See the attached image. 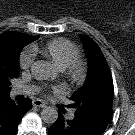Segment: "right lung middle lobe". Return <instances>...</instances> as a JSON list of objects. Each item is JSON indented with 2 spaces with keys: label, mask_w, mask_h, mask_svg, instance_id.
Listing matches in <instances>:
<instances>
[{
  "label": "right lung middle lobe",
  "mask_w": 135,
  "mask_h": 135,
  "mask_svg": "<svg viewBox=\"0 0 135 135\" xmlns=\"http://www.w3.org/2000/svg\"><path fill=\"white\" fill-rule=\"evenodd\" d=\"M30 42L31 41L20 40L15 43L13 47V53L16 56V59L13 63V67L9 72H5L0 75V95L8 94L10 92V80L19 76V53L21 49Z\"/></svg>",
  "instance_id": "right-lung-middle-lobe-1"
}]
</instances>
